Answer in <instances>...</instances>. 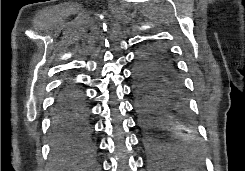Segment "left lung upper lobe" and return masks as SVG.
Segmentation results:
<instances>
[{
    "instance_id": "obj_1",
    "label": "left lung upper lobe",
    "mask_w": 245,
    "mask_h": 171,
    "mask_svg": "<svg viewBox=\"0 0 245 171\" xmlns=\"http://www.w3.org/2000/svg\"><path fill=\"white\" fill-rule=\"evenodd\" d=\"M157 46V43H149L143 46L138 54L136 61H152L151 52Z\"/></svg>"
}]
</instances>
